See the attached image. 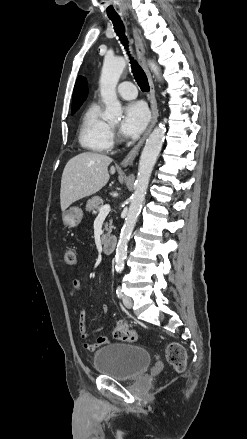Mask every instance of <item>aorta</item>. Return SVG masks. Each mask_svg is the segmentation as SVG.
<instances>
[{"label":"aorta","mask_w":247,"mask_h":439,"mask_svg":"<svg viewBox=\"0 0 247 439\" xmlns=\"http://www.w3.org/2000/svg\"><path fill=\"white\" fill-rule=\"evenodd\" d=\"M125 67L126 60L123 57H107L103 63L99 84L101 97L106 106L105 116L109 120H119L122 117V107L117 98L116 86ZM149 67L160 79V70L157 64L154 61H149ZM164 136L165 126L161 124L150 134L142 150L135 191L131 197L128 214L116 248L115 269L117 272H121L124 268L127 245L142 208L151 173L164 142Z\"/></svg>","instance_id":"1"}]
</instances>
